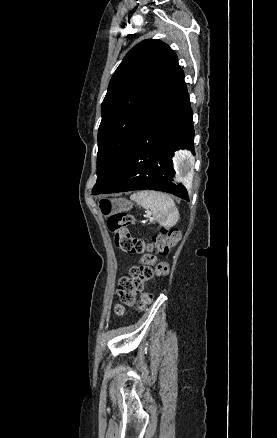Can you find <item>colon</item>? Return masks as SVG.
I'll use <instances>...</instances> for the list:
<instances>
[{"mask_svg":"<svg viewBox=\"0 0 277 438\" xmlns=\"http://www.w3.org/2000/svg\"><path fill=\"white\" fill-rule=\"evenodd\" d=\"M130 226H137V221L126 213H116L108 219V229L117 249L126 255L138 254L142 257L139 265L130 268L129 276L117 282L118 303L114 306L117 314L127 306L144 309L152 302L151 292L143 294L144 283L153 277L154 269L160 276H167L170 270L168 263H156V255L172 249L180 239V232L175 226L160 227L159 234L152 237H134ZM139 295L141 299L137 302Z\"/></svg>","mask_w":277,"mask_h":438,"instance_id":"1","label":"colon"}]
</instances>
